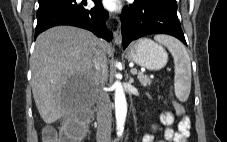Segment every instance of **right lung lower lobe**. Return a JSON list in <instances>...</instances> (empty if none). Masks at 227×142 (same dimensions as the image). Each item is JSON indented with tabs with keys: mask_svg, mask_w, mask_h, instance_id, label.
I'll list each match as a JSON object with an SVG mask.
<instances>
[{
	"mask_svg": "<svg viewBox=\"0 0 227 142\" xmlns=\"http://www.w3.org/2000/svg\"><path fill=\"white\" fill-rule=\"evenodd\" d=\"M95 6L84 8L86 0H54L39 5L35 37L41 32L57 25H71L87 29L98 37L110 41L112 32L106 27L108 12L102 7L101 0H93Z\"/></svg>",
	"mask_w": 227,
	"mask_h": 142,
	"instance_id": "98d812e1",
	"label": "right lung lower lobe"
}]
</instances>
